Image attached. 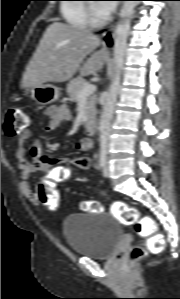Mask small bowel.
<instances>
[{
  "label": "small bowel",
  "mask_w": 180,
  "mask_h": 299,
  "mask_svg": "<svg viewBox=\"0 0 180 299\" xmlns=\"http://www.w3.org/2000/svg\"><path fill=\"white\" fill-rule=\"evenodd\" d=\"M46 114L49 118L47 131L56 132L62 125L71 119V113L67 106L51 105ZM32 138V132L28 129L22 131L17 144V167L20 171L21 187L24 195L32 203H39L38 192L35 193L30 184V179L35 173H42L53 181H63L68 177L71 167L86 170L91 161L88 157H52L44 153L39 142H33L27 154V144ZM78 148L81 151H90L93 141L89 138L82 139ZM42 183L39 184V187ZM38 187V188H39Z\"/></svg>",
  "instance_id": "1"
}]
</instances>
